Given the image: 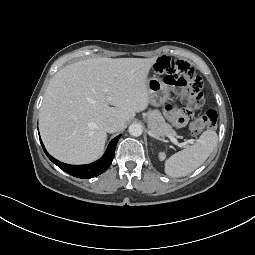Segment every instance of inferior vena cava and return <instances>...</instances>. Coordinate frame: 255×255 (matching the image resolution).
I'll use <instances>...</instances> for the list:
<instances>
[{"instance_id": "obj_1", "label": "inferior vena cava", "mask_w": 255, "mask_h": 255, "mask_svg": "<svg viewBox=\"0 0 255 255\" xmlns=\"http://www.w3.org/2000/svg\"><path fill=\"white\" fill-rule=\"evenodd\" d=\"M123 126V122L116 118H109L105 121L104 127L108 133L118 132Z\"/></svg>"}]
</instances>
